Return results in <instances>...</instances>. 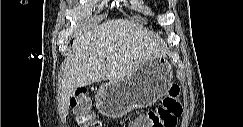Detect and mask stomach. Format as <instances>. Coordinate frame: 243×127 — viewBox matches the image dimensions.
I'll list each match as a JSON object with an SVG mask.
<instances>
[{
  "label": "stomach",
  "mask_w": 243,
  "mask_h": 127,
  "mask_svg": "<svg viewBox=\"0 0 243 127\" xmlns=\"http://www.w3.org/2000/svg\"><path fill=\"white\" fill-rule=\"evenodd\" d=\"M172 79V67L167 59L153 56L125 79L102 84L95 96L97 108L104 116L120 118L166 95Z\"/></svg>",
  "instance_id": "1"
}]
</instances>
